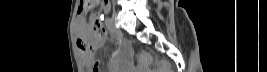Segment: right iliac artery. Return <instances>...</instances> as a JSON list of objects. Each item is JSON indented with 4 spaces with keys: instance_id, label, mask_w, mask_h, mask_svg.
Wrapping results in <instances>:
<instances>
[{
    "instance_id": "1",
    "label": "right iliac artery",
    "mask_w": 267,
    "mask_h": 72,
    "mask_svg": "<svg viewBox=\"0 0 267 72\" xmlns=\"http://www.w3.org/2000/svg\"><path fill=\"white\" fill-rule=\"evenodd\" d=\"M105 23H106V27L108 28V30L110 32H113L114 31V24H113L112 19L107 18L106 21H105Z\"/></svg>"
}]
</instances>
